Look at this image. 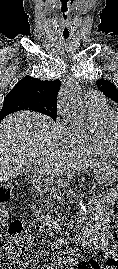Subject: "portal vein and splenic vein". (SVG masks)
Instances as JSON below:
<instances>
[{
	"label": "portal vein and splenic vein",
	"instance_id": "18ae733b",
	"mask_svg": "<svg viewBox=\"0 0 118 269\" xmlns=\"http://www.w3.org/2000/svg\"><path fill=\"white\" fill-rule=\"evenodd\" d=\"M39 172L42 173L43 171L41 169H39Z\"/></svg>",
	"mask_w": 118,
	"mask_h": 269
}]
</instances>
